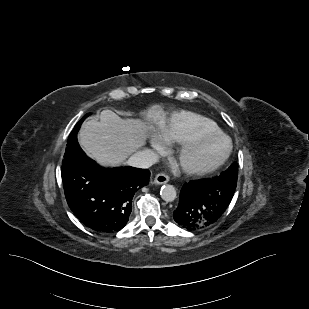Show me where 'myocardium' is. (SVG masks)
I'll return each mask as SVG.
<instances>
[{
  "mask_svg": "<svg viewBox=\"0 0 309 309\" xmlns=\"http://www.w3.org/2000/svg\"><path fill=\"white\" fill-rule=\"evenodd\" d=\"M209 140H224L227 143V148L225 152L218 160L206 166L189 165L184 162V159L187 156V154H189L192 150H194L197 146H199L203 142ZM232 149L233 145L230 138L221 132L199 133L179 145V147L176 150V159L179 162L181 169L185 174L190 176H205L215 172L220 167H222L225 164V162L229 159L232 153Z\"/></svg>",
  "mask_w": 309,
  "mask_h": 309,
  "instance_id": "myocardium-1",
  "label": "myocardium"
}]
</instances>
